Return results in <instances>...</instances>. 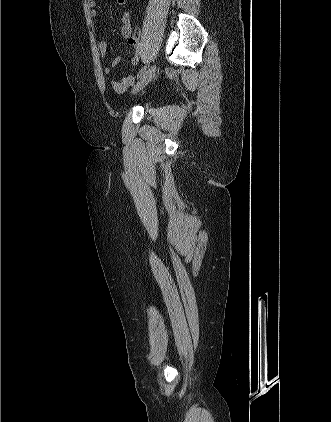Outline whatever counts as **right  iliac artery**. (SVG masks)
<instances>
[{
  "label": "right iliac artery",
  "mask_w": 331,
  "mask_h": 422,
  "mask_svg": "<svg viewBox=\"0 0 331 422\" xmlns=\"http://www.w3.org/2000/svg\"><path fill=\"white\" fill-rule=\"evenodd\" d=\"M146 69H147V66L146 65L141 68V70L139 71V73L137 75V79H139L144 74V72L146 71Z\"/></svg>",
  "instance_id": "obj_1"
}]
</instances>
